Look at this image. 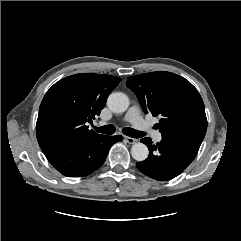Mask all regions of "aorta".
<instances>
[{
  "label": "aorta",
  "mask_w": 241,
  "mask_h": 241,
  "mask_svg": "<svg viewBox=\"0 0 241 241\" xmlns=\"http://www.w3.org/2000/svg\"><path fill=\"white\" fill-rule=\"evenodd\" d=\"M129 103L127 95L121 92L110 94L107 100L108 107L116 113L125 112ZM131 155L136 161H144L149 155L148 147L140 142L135 143L131 147Z\"/></svg>",
  "instance_id": "obj_1"
}]
</instances>
